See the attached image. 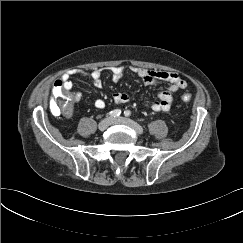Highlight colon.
Segmentation results:
<instances>
[{
  "instance_id": "1",
  "label": "colon",
  "mask_w": 243,
  "mask_h": 243,
  "mask_svg": "<svg viewBox=\"0 0 243 243\" xmlns=\"http://www.w3.org/2000/svg\"><path fill=\"white\" fill-rule=\"evenodd\" d=\"M191 95L186 93L182 96L184 102L191 100ZM74 96L67 92L62 82L56 81L53 86V97L50 101V109L54 115H69L73 110Z\"/></svg>"
}]
</instances>
